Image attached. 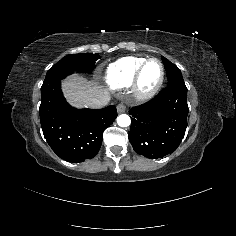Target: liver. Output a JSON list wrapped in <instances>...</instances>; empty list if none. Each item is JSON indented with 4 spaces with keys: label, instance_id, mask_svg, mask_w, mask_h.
Here are the masks:
<instances>
[{
    "label": "liver",
    "instance_id": "liver-1",
    "mask_svg": "<svg viewBox=\"0 0 236 236\" xmlns=\"http://www.w3.org/2000/svg\"><path fill=\"white\" fill-rule=\"evenodd\" d=\"M60 91L65 103L74 110L84 109L86 104L95 98L112 94L106 86L94 80L86 79L83 75L72 73L60 80Z\"/></svg>",
    "mask_w": 236,
    "mask_h": 236
}]
</instances>
